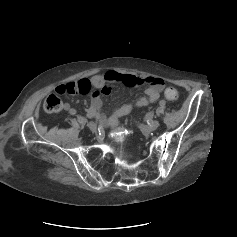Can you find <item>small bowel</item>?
Returning <instances> with one entry per match:
<instances>
[{"instance_id": "small-bowel-1", "label": "small bowel", "mask_w": 237, "mask_h": 237, "mask_svg": "<svg viewBox=\"0 0 237 237\" xmlns=\"http://www.w3.org/2000/svg\"><path fill=\"white\" fill-rule=\"evenodd\" d=\"M115 82L123 83L129 87L146 84L147 88L145 89V97L138 99L134 104L121 106L106 120V123L112 128H115L119 121L128 115L134 107L147 106L157 101L164 89V81L161 78L154 76L138 77L110 70L104 75H95L91 78H82L66 84H60L55 88V91L58 94H90L91 100L87 113L90 117H97L102 107L101 95H109L112 91L110 84ZM64 108L67 110L70 105L65 103Z\"/></svg>"}]
</instances>
